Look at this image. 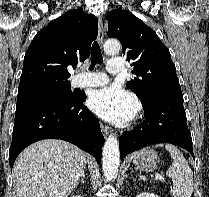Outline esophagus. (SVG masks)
Returning a JSON list of instances; mask_svg holds the SVG:
<instances>
[{
    "mask_svg": "<svg viewBox=\"0 0 209 197\" xmlns=\"http://www.w3.org/2000/svg\"><path fill=\"white\" fill-rule=\"evenodd\" d=\"M104 40V30H103V24H102V19L101 17L98 18V42L100 44L103 43ZM101 131L103 133L104 136L108 135L110 133V128L108 126L105 125H101Z\"/></svg>",
    "mask_w": 209,
    "mask_h": 197,
    "instance_id": "1",
    "label": "esophagus"
}]
</instances>
